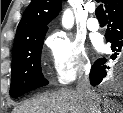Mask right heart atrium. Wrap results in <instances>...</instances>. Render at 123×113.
I'll return each instance as SVG.
<instances>
[{"label": "right heart atrium", "mask_w": 123, "mask_h": 113, "mask_svg": "<svg viewBox=\"0 0 123 113\" xmlns=\"http://www.w3.org/2000/svg\"><path fill=\"white\" fill-rule=\"evenodd\" d=\"M55 80L68 85L90 66L83 44L67 32H55L47 40Z\"/></svg>", "instance_id": "obj_1"}]
</instances>
